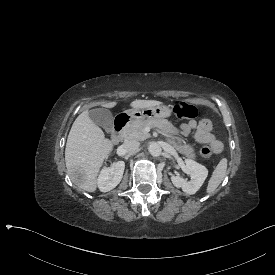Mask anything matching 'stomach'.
Instances as JSON below:
<instances>
[{
	"label": "stomach",
	"instance_id": "stomach-1",
	"mask_svg": "<svg viewBox=\"0 0 275 275\" xmlns=\"http://www.w3.org/2000/svg\"><path fill=\"white\" fill-rule=\"evenodd\" d=\"M126 113L133 121H150L154 119L168 118L172 115V110L167 105H158L143 109H131L127 110Z\"/></svg>",
	"mask_w": 275,
	"mask_h": 275
}]
</instances>
